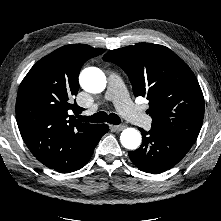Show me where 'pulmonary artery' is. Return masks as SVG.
I'll list each match as a JSON object with an SVG mask.
<instances>
[{"label":"pulmonary artery","instance_id":"1","mask_svg":"<svg viewBox=\"0 0 221 221\" xmlns=\"http://www.w3.org/2000/svg\"><path fill=\"white\" fill-rule=\"evenodd\" d=\"M105 99L113 101L118 111L128 121L141 127H148L150 125L151 118L130 101L121 78L116 74H111L108 78ZM97 107L98 104L94 105L92 109L95 110Z\"/></svg>","mask_w":221,"mask_h":221}]
</instances>
